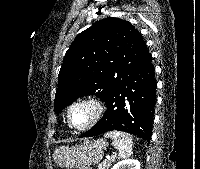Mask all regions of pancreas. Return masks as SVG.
<instances>
[{"mask_svg": "<svg viewBox=\"0 0 200 169\" xmlns=\"http://www.w3.org/2000/svg\"><path fill=\"white\" fill-rule=\"evenodd\" d=\"M112 162H114V159L105 160L98 165V169H109Z\"/></svg>", "mask_w": 200, "mask_h": 169, "instance_id": "obj_1", "label": "pancreas"}]
</instances>
